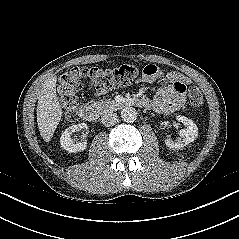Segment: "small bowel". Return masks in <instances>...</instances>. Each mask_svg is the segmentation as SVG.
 Segmentation results:
<instances>
[{"mask_svg":"<svg viewBox=\"0 0 239 239\" xmlns=\"http://www.w3.org/2000/svg\"><path fill=\"white\" fill-rule=\"evenodd\" d=\"M162 75L160 69L154 64H148L143 69L142 81L152 83ZM170 85L160 88L152 101V107L159 113H170L180 109L184 103V86L188 80L176 73L168 75ZM105 93L104 91L100 94Z\"/></svg>","mask_w":239,"mask_h":239,"instance_id":"c3829d8e","label":"small bowel"}]
</instances>
